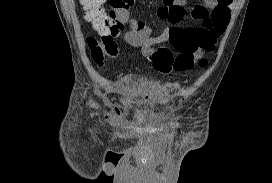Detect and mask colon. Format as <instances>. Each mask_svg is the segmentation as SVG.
Returning <instances> with one entry per match:
<instances>
[{"mask_svg":"<svg viewBox=\"0 0 272 183\" xmlns=\"http://www.w3.org/2000/svg\"><path fill=\"white\" fill-rule=\"evenodd\" d=\"M80 2L86 12V19L98 35L88 37L87 43L92 59L100 64L106 57L116 55L114 37L124 29L134 0H110L108 11L102 6L103 0H80ZM149 59L154 69L159 72L167 74L175 70L174 55L168 47L153 48ZM198 63L204 67L207 61L201 59Z\"/></svg>","mask_w":272,"mask_h":183,"instance_id":"obj_1","label":"colon"}]
</instances>
